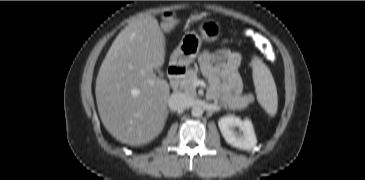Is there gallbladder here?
<instances>
[{
	"mask_svg": "<svg viewBox=\"0 0 365 180\" xmlns=\"http://www.w3.org/2000/svg\"><path fill=\"white\" fill-rule=\"evenodd\" d=\"M158 73H159V75H160L161 77L163 76V74H162V72H161V71H159V70H158Z\"/></svg>",
	"mask_w": 365,
	"mask_h": 180,
	"instance_id": "obj_1",
	"label": "gallbladder"
}]
</instances>
